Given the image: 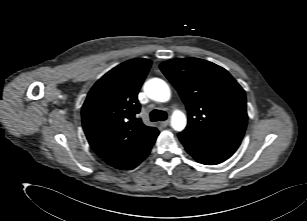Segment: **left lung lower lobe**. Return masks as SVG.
I'll return each mask as SVG.
<instances>
[{
    "instance_id": "left-lung-lower-lobe-1",
    "label": "left lung lower lobe",
    "mask_w": 307,
    "mask_h": 221,
    "mask_svg": "<svg viewBox=\"0 0 307 221\" xmlns=\"http://www.w3.org/2000/svg\"><path fill=\"white\" fill-rule=\"evenodd\" d=\"M186 151L199 163L206 165L219 164L239 147L241 141L231 138L217 137L184 130L178 134Z\"/></svg>"
}]
</instances>
